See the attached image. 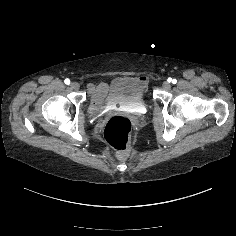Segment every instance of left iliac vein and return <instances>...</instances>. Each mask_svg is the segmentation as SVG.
<instances>
[{
	"instance_id": "1",
	"label": "left iliac vein",
	"mask_w": 236,
	"mask_h": 236,
	"mask_svg": "<svg viewBox=\"0 0 236 236\" xmlns=\"http://www.w3.org/2000/svg\"><path fill=\"white\" fill-rule=\"evenodd\" d=\"M162 86L164 89L168 90V89H170L171 84L169 82L165 81V82H163Z\"/></svg>"
}]
</instances>
